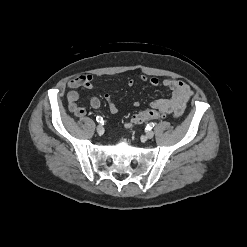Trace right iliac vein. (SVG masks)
I'll return each instance as SVG.
<instances>
[{"label":"right iliac vein","mask_w":247,"mask_h":247,"mask_svg":"<svg viewBox=\"0 0 247 247\" xmlns=\"http://www.w3.org/2000/svg\"><path fill=\"white\" fill-rule=\"evenodd\" d=\"M96 130H97V132H98L99 134H102V133L104 132V128H103L101 125H98V126L96 127Z\"/></svg>","instance_id":"obj_1"}]
</instances>
